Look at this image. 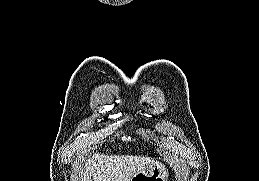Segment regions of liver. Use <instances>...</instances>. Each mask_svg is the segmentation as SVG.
<instances>
[{"mask_svg":"<svg viewBox=\"0 0 259 181\" xmlns=\"http://www.w3.org/2000/svg\"><path fill=\"white\" fill-rule=\"evenodd\" d=\"M155 164L144 156L94 154L85 162L81 181H130L138 172Z\"/></svg>","mask_w":259,"mask_h":181,"instance_id":"1","label":"liver"}]
</instances>
